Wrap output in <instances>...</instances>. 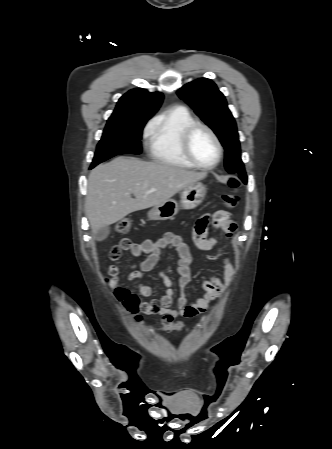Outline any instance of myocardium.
I'll list each match as a JSON object with an SVG mask.
<instances>
[{
    "instance_id": "obj_1",
    "label": "myocardium",
    "mask_w": 332,
    "mask_h": 449,
    "mask_svg": "<svg viewBox=\"0 0 332 449\" xmlns=\"http://www.w3.org/2000/svg\"><path fill=\"white\" fill-rule=\"evenodd\" d=\"M198 129L205 130L213 139L216 148H217V157L216 160L210 164V165H203L199 163L195 157L192 154L191 151V138L194 132ZM181 150L185 158L196 168H199L201 170H211L215 168L221 161L223 156V147L221 144V141L215 131L208 126L207 124H204L202 122H194L191 125H189L182 133L181 135Z\"/></svg>"
}]
</instances>
